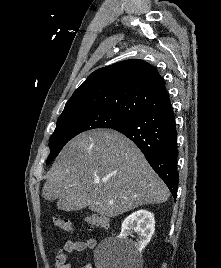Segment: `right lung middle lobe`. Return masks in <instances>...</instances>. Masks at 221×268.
I'll return each instance as SVG.
<instances>
[{"label": "right lung middle lobe", "mask_w": 221, "mask_h": 268, "mask_svg": "<svg viewBox=\"0 0 221 268\" xmlns=\"http://www.w3.org/2000/svg\"><path fill=\"white\" fill-rule=\"evenodd\" d=\"M125 121H128L126 117L106 109L62 113L49 139L51 151L46 163L52 161L63 146L79 133L95 128H112Z\"/></svg>", "instance_id": "dd1d6c3e"}]
</instances>
